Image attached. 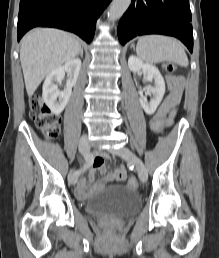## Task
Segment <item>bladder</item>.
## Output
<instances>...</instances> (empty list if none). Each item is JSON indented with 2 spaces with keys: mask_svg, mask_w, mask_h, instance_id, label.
<instances>
[{
  "mask_svg": "<svg viewBox=\"0 0 219 258\" xmlns=\"http://www.w3.org/2000/svg\"><path fill=\"white\" fill-rule=\"evenodd\" d=\"M82 205L83 210L91 215L127 217L140 209L141 198L124 186H113L93 194Z\"/></svg>",
  "mask_w": 219,
  "mask_h": 258,
  "instance_id": "1",
  "label": "bladder"
}]
</instances>
